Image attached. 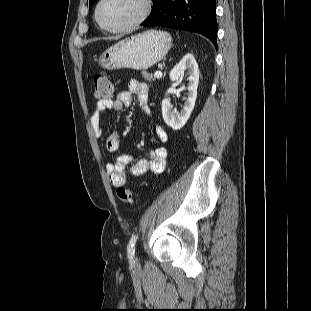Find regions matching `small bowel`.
Segmentation results:
<instances>
[{"label":"small bowel","mask_w":311,"mask_h":311,"mask_svg":"<svg viewBox=\"0 0 311 311\" xmlns=\"http://www.w3.org/2000/svg\"><path fill=\"white\" fill-rule=\"evenodd\" d=\"M133 96H136L137 102L143 113L152 117V111L148 102V86L136 79L130 80L128 89L120 91L115 99L98 101L90 118L89 124L93 134L99 137L102 133V115L109 109L114 112H121L128 107ZM156 137L161 143L168 141V134L161 126L154 128ZM106 149L110 152H116L120 147V137L117 131H112L105 140ZM167 157V149L165 147H157L150 151L147 158L134 161L130 154L118 155L115 160L108 162L106 165V173L111 185L119 187L125 184L127 176H142L149 172L161 173L164 170Z\"/></svg>","instance_id":"c3829d8e"}]
</instances>
